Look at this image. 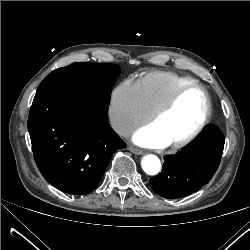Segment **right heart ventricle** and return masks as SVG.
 I'll return each instance as SVG.
<instances>
[{
    "instance_id": "e07e8e85",
    "label": "right heart ventricle",
    "mask_w": 250,
    "mask_h": 250,
    "mask_svg": "<svg viewBox=\"0 0 250 250\" xmlns=\"http://www.w3.org/2000/svg\"><path fill=\"white\" fill-rule=\"evenodd\" d=\"M194 82L193 79L168 71H156L140 77L136 85L142 100L153 115L180 86Z\"/></svg>"
}]
</instances>
